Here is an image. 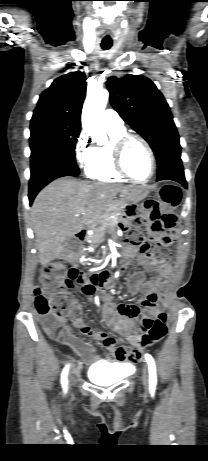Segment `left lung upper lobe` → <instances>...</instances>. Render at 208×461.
Instances as JSON below:
<instances>
[{"label": "left lung upper lobe", "mask_w": 208, "mask_h": 461, "mask_svg": "<svg viewBox=\"0 0 208 461\" xmlns=\"http://www.w3.org/2000/svg\"><path fill=\"white\" fill-rule=\"evenodd\" d=\"M107 87L114 109L153 149L157 175L181 163L179 135L170 108L156 85L144 76L126 75L110 77Z\"/></svg>", "instance_id": "left-lung-upper-lobe-1"}]
</instances>
